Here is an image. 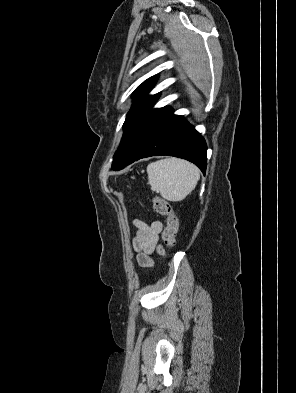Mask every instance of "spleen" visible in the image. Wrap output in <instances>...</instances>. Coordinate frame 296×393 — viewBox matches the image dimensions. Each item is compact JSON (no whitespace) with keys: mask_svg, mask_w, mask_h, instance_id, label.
<instances>
[{"mask_svg":"<svg viewBox=\"0 0 296 393\" xmlns=\"http://www.w3.org/2000/svg\"><path fill=\"white\" fill-rule=\"evenodd\" d=\"M147 174L151 190L173 202L185 199L200 179L199 169L195 165L177 158L150 163Z\"/></svg>","mask_w":296,"mask_h":393,"instance_id":"spleen-1","label":"spleen"}]
</instances>
